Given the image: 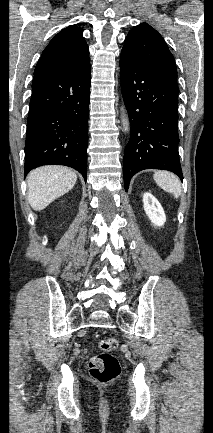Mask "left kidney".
Wrapping results in <instances>:
<instances>
[{"label":"left kidney","mask_w":213,"mask_h":433,"mask_svg":"<svg viewBox=\"0 0 213 433\" xmlns=\"http://www.w3.org/2000/svg\"><path fill=\"white\" fill-rule=\"evenodd\" d=\"M143 207L150 221L157 227H162L166 222V216L161 204L151 193H144Z\"/></svg>","instance_id":"obj_1"}]
</instances>
